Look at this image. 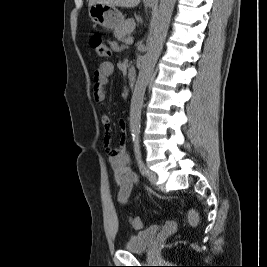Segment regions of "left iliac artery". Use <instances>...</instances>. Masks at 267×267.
<instances>
[{
  "label": "left iliac artery",
  "instance_id": "1",
  "mask_svg": "<svg viewBox=\"0 0 267 267\" xmlns=\"http://www.w3.org/2000/svg\"><path fill=\"white\" fill-rule=\"evenodd\" d=\"M134 153H135V158H136L140 173L144 176L147 174V169L142 160V154H141L140 144L138 140L134 142Z\"/></svg>",
  "mask_w": 267,
  "mask_h": 267
}]
</instances>
